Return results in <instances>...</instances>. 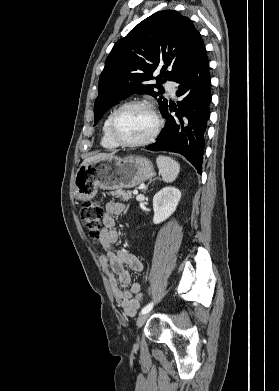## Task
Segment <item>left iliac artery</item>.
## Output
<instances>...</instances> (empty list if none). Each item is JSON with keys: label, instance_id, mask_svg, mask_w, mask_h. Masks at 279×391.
Listing matches in <instances>:
<instances>
[{"label": "left iliac artery", "instance_id": "obj_1", "mask_svg": "<svg viewBox=\"0 0 279 391\" xmlns=\"http://www.w3.org/2000/svg\"><path fill=\"white\" fill-rule=\"evenodd\" d=\"M152 307H153V303H149L148 305H146V306L142 309L141 313L144 314V313L149 312V311L152 309Z\"/></svg>", "mask_w": 279, "mask_h": 391}]
</instances>
